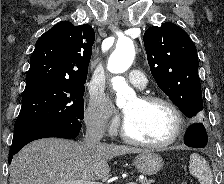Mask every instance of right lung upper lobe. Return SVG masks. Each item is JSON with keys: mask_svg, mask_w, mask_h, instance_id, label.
I'll use <instances>...</instances> for the list:
<instances>
[{"mask_svg": "<svg viewBox=\"0 0 224 184\" xmlns=\"http://www.w3.org/2000/svg\"><path fill=\"white\" fill-rule=\"evenodd\" d=\"M93 28L60 22L36 42L30 58L26 84L37 81L86 82L92 46Z\"/></svg>", "mask_w": 224, "mask_h": 184, "instance_id": "right-lung-upper-lobe-1", "label": "right lung upper lobe"}]
</instances>
